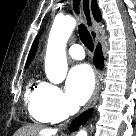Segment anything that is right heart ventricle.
Listing matches in <instances>:
<instances>
[{
  "mask_svg": "<svg viewBox=\"0 0 136 136\" xmlns=\"http://www.w3.org/2000/svg\"><path fill=\"white\" fill-rule=\"evenodd\" d=\"M41 84L33 86L32 84L26 90L25 99L30 115L39 122L52 121L40 102Z\"/></svg>",
  "mask_w": 136,
  "mask_h": 136,
  "instance_id": "obj_1",
  "label": "right heart ventricle"
}]
</instances>
